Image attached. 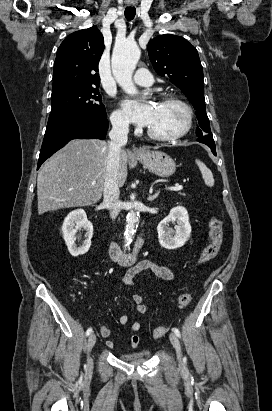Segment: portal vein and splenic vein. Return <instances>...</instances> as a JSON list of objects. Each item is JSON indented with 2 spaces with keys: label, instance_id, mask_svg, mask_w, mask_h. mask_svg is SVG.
Wrapping results in <instances>:
<instances>
[{
  "label": "portal vein and splenic vein",
  "instance_id": "portal-vein-and-splenic-vein-1",
  "mask_svg": "<svg viewBox=\"0 0 272 411\" xmlns=\"http://www.w3.org/2000/svg\"><path fill=\"white\" fill-rule=\"evenodd\" d=\"M93 184H95V183L93 182ZM182 188H183V186L180 185V184H176L175 186L166 187L167 190H174V191L181 190Z\"/></svg>",
  "mask_w": 272,
  "mask_h": 411
}]
</instances>
